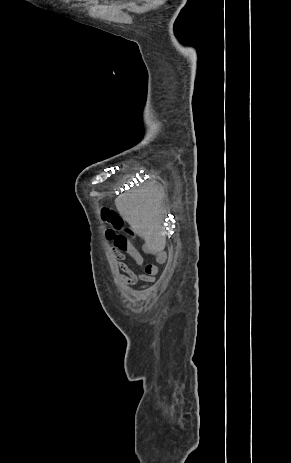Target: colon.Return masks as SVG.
Wrapping results in <instances>:
<instances>
[{"label": "colon", "instance_id": "obj_1", "mask_svg": "<svg viewBox=\"0 0 291 463\" xmlns=\"http://www.w3.org/2000/svg\"><path fill=\"white\" fill-rule=\"evenodd\" d=\"M101 218L104 222L110 224L109 229L102 230V239L110 240L116 235H122L127 237H134L135 233L133 230L122 220V218L111 210L108 207H103L101 209ZM151 267H148V270H151Z\"/></svg>", "mask_w": 291, "mask_h": 463}]
</instances>
